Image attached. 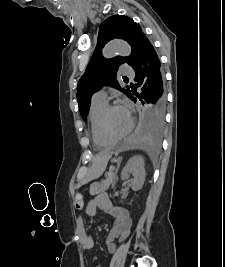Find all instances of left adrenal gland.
<instances>
[{
	"label": "left adrenal gland",
	"mask_w": 225,
	"mask_h": 267,
	"mask_svg": "<svg viewBox=\"0 0 225 267\" xmlns=\"http://www.w3.org/2000/svg\"><path fill=\"white\" fill-rule=\"evenodd\" d=\"M120 163H121V160H118V162H117V168H116V173H117V172H118V170H119Z\"/></svg>",
	"instance_id": "1"
}]
</instances>
